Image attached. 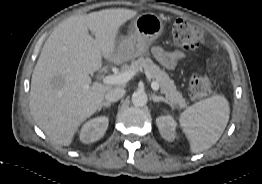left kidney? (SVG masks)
<instances>
[{"mask_svg": "<svg viewBox=\"0 0 262 184\" xmlns=\"http://www.w3.org/2000/svg\"><path fill=\"white\" fill-rule=\"evenodd\" d=\"M156 124L158 126L161 136L167 141H173L176 137V126L177 123L173 117L160 116L156 119Z\"/></svg>", "mask_w": 262, "mask_h": 184, "instance_id": "1", "label": "left kidney"}]
</instances>
